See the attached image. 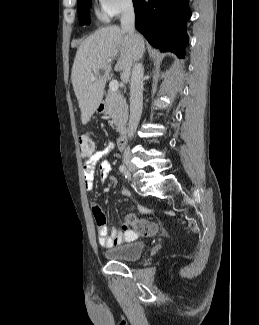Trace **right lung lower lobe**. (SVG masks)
<instances>
[{
	"instance_id": "98d812e1",
	"label": "right lung lower lobe",
	"mask_w": 259,
	"mask_h": 325,
	"mask_svg": "<svg viewBox=\"0 0 259 325\" xmlns=\"http://www.w3.org/2000/svg\"><path fill=\"white\" fill-rule=\"evenodd\" d=\"M135 26L147 41L162 52L184 57L186 22L191 13L188 0H133Z\"/></svg>"
}]
</instances>
